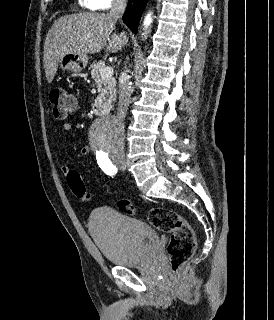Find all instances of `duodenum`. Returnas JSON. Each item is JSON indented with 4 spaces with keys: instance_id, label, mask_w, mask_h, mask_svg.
I'll use <instances>...</instances> for the list:
<instances>
[{
    "instance_id": "1",
    "label": "duodenum",
    "mask_w": 274,
    "mask_h": 320,
    "mask_svg": "<svg viewBox=\"0 0 274 320\" xmlns=\"http://www.w3.org/2000/svg\"><path fill=\"white\" fill-rule=\"evenodd\" d=\"M96 113L100 116V117H104L106 115L109 114L108 110L105 109L100 102H96Z\"/></svg>"
}]
</instances>
